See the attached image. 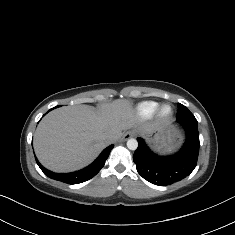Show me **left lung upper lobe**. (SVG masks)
I'll return each mask as SVG.
<instances>
[{
  "mask_svg": "<svg viewBox=\"0 0 235 235\" xmlns=\"http://www.w3.org/2000/svg\"><path fill=\"white\" fill-rule=\"evenodd\" d=\"M176 118L177 119H184V118L196 119L194 115L189 111V109L180 103H178V111H177Z\"/></svg>",
  "mask_w": 235,
  "mask_h": 235,
  "instance_id": "obj_1",
  "label": "left lung upper lobe"
}]
</instances>
